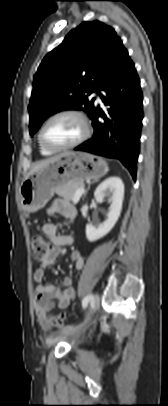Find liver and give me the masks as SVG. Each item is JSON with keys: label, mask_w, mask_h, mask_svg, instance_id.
<instances>
[{"label": "liver", "mask_w": 168, "mask_h": 406, "mask_svg": "<svg viewBox=\"0 0 168 406\" xmlns=\"http://www.w3.org/2000/svg\"><path fill=\"white\" fill-rule=\"evenodd\" d=\"M61 156H62V154L58 155V156L48 158V159H45L43 161H40V162L36 163L33 166V168L30 170L28 176L30 174H33L34 172L40 170V169L46 168V167L50 166L51 164L55 163L56 161H58L61 158Z\"/></svg>", "instance_id": "6515ba94"}]
</instances>
